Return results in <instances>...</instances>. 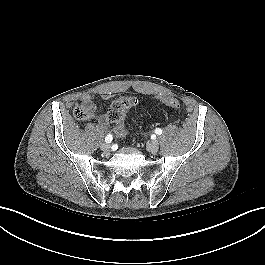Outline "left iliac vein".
<instances>
[{"label": "left iliac vein", "instance_id": "left-iliac-vein-1", "mask_svg": "<svg viewBox=\"0 0 265 265\" xmlns=\"http://www.w3.org/2000/svg\"><path fill=\"white\" fill-rule=\"evenodd\" d=\"M159 149V143L157 141H151L147 145V150L151 153H156Z\"/></svg>", "mask_w": 265, "mask_h": 265}]
</instances>
